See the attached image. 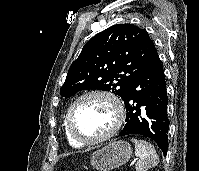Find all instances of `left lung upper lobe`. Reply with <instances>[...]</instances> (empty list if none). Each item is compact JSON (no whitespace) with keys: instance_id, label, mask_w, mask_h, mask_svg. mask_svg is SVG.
<instances>
[{"instance_id":"1","label":"left lung upper lobe","mask_w":199,"mask_h":171,"mask_svg":"<svg viewBox=\"0 0 199 171\" xmlns=\"http://www.w3.org/2000/svg\"><path fill=\"white\" fill-rule=\"evenodd\" d=\"M157 53L147 31L113 25L96 34L71 64L61 87L68 98L80 90H108L125 97L133 81Z\"/></svg>"}]
</instances>
